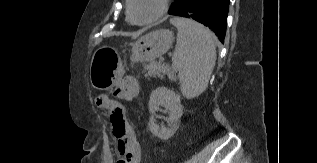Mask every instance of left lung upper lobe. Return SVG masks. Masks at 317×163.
I'll return each mask as SVG.
<instances>
[{"mask_svg": "<svg viewBox=\"0 0 317 163\" xmlns=\"http://www.w3.org/2000/svg\"><path fill=\"white\" fill-rule=\"evenodd\" d=\"M179 2L180 0H175L174 3H172L169 11H173L178 6Z\"/></svg>", "mask_w": 317, "mask_h": 163, "instance_id": "left-lung-upper-lobe-1", "label": "left lung upper lobe"}]
</instances>
